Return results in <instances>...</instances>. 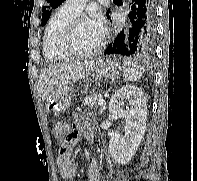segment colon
<instances>
[{
    "label": "colon",
    "instance_id": "obj_1",
    "mask_svg": "<svg viewBox=\"0 0 197 181\" xmlns=\"http://www.w3.org/2000/svg\"><path fill=\"white\" fill-rule=\"evenodd\" d=\"M62 127H63V123L61 121H54L51 124V131L53 134L59 136L62 134ZM64 150H66V148H64Z\"/></svg>",
    "mask_w": 197,
    "mask_h": 181
}]
</instances>
